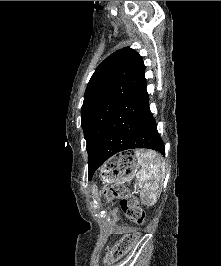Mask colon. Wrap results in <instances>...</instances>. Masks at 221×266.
<instances>
[{"label":"colon","instance_id":"1","mask_svg":"<svg viewBox=\"0 0 221 266\" xmlns=\"http://www.w3.org/2000/svg\"><path fill=\"white\" fill-rule=\"evenodd\" d=\"M104 196L109 199L120 198L121 209L129 221L143 225L145 223V212L138 205L135 197L126 192L122 184H114L103 190ZM139 234L129 232L125 234L105 256V262L110 264L121 259L137 242Z\"/></svg>","mask_w":221,"mask_h":266}]
</instances>
